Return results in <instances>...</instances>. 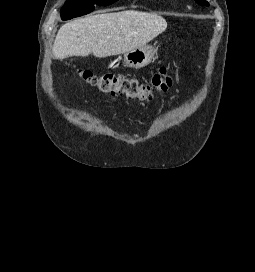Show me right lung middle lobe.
<instances>
[{"label":"right lung middle lobe","instance_id":"right-lung-middle-lobe-1","mask_svg":"<svg viewBox=\"0 0 255 272\" xmlns=\"http://www.w3.org/2000/svg\"><path fill=\"white\" fill-rule=\"evenodd\" d=\"M118 0H67L61 9V18L69 20L74 17L88 14L94 10V4L110 5Z\"/></svg>","mask_w":255,"mask_h":272}]
</instances>
